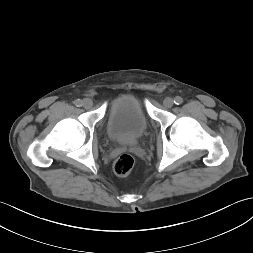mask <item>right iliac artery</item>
<instances>
[{"instance_id":"obj_1","label":"right iliac artery","mask_w":253,"mask_h":253,"mask_svg":"<svg viewBox=\"0 0 253 253\" xmlns=\"http://www.w3.org/2000/svg\"><path fill=\"white\" fill-rule=\"evenodd\" d=\"M74 104H75L77 107H80V106L83 105V104H82V100H80V99L75 100V101H74Z\"/></svg>"}]
</instances>
